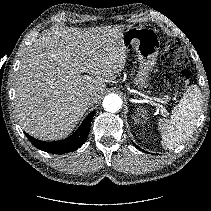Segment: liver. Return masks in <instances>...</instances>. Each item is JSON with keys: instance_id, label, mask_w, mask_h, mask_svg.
<instances>
[{"instance_id": "6515ba94", "label": "liver", "mask_w": 211, "mask_h": 211, "mask_svg": "<svg viewBox=\"0 0 211 211\" xmlns=\"http://www.w3.org/2000/svg\"><path fill=\"white\" fill-rule=\"evenodd\" d=\"M124 31L118 25L57 27L36 39L15 78V112L27 134L55 141L73 131L105 83L124 69ZM84 95H92L93 103L85 104Z\"/></svg>"}]
</instances>
